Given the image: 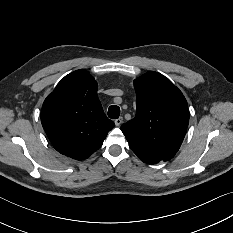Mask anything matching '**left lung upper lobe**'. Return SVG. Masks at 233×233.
Returning <instances> with one entry per match:
<instances>
[{"label": "left lung upper lobe", "instance_id": "1", "mask_svg": "<svg viewBox=\"0 0 233 233\" xmlns=\"http://www.w3.org/2000/svg\"><path fill=\"white\" fill-rule=\"evenodd\" d=\"M136 116L121 126L130 148L168 161L179 150L189 123L181 91L165 76L149 72L134 80Z\"/></svg>", "mask_w": 233, "mask_h": 233}]
</instances>
